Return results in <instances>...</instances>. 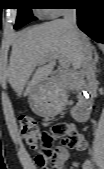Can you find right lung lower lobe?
<instances>
[{"mask_svg":"<svg viewBox=\"0 0 104 169\" xmlns=\"http://www.w3.org/2000/svg\"><path fill=\"white\" fill-rule=\"evenodd\" d=\"M79 28L93 40L104 43V0H75Z\"/></svg>","mask_w":104,"mask_h":169,"instance_id":"98d812e1","label":"right lung lower lobe"}]
</instances>
